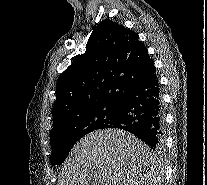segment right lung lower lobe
Masks as SVG:
<instances>
[{
  "label": "right lung lower lobe",
  "mask_w": 207,
  "mask_h": 185,
  "mask_svg": "<svg viewBox=\"0 0 207 185\" xmlns=\"http://www.w3.org/2000/svg\"><path fill=\"white\" fill-rule=\"evenodd\" d=\"M155 75L132 84L118 100L117 120L104 128H120L135 134L152 149L163 146L164 116Z\"/></svg>",
  "instance_id": "right-lung-lower-lobe-1"
}]
</instances>
